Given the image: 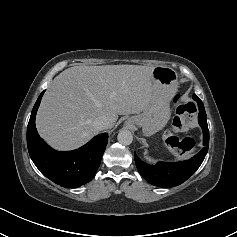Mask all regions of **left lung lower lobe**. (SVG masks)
Returning a JSON list of instances; mask_svg holds the SVG:
<instances>
[{
	"instance_id": "1",
	"label": "left lung lower lobe",
	"mask_w": 237,
	"mask_h": 237,
	"mask_svg": "<svg viewBox=\"0 0 237 237\" xmlns=\"http://www.w3.org/2000/svg\"><path fill=\"white\" fill-rule=\"evenodd\" d=\"M196 95H193V98ZM198 122L203 130V148L194 157L181 162H158L151 166L144 163L135 155V163L141 175L152 185L159 187H172L182 184L202 164L209 146V130L205 109L199 110Z\"/></svg>"
}]
</instances>
